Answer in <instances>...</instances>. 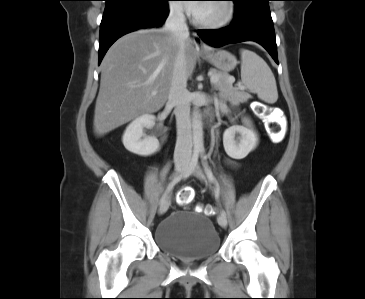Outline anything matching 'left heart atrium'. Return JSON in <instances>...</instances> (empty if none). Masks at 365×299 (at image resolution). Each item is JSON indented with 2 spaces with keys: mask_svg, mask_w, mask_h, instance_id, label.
Here are the masks:
<instances>
[{
  "mask_svg": "<svg viewBox=\"0 0 365 299\" xmlns=\"http://www.w3.org/2000/svg\"><path fill=\"white\" fill-rule=\"evenodd\" d=\"M201 7H202V4H200V3H191L188 5L189 11L194 15H196L198 13V11L201 9Z\"/></svg>",
  "mask_w": 365,
  "mask_h": 299,
  "instance_id": "39dd6f15",
  "label": "left heart atrium"
}]
</instances>
